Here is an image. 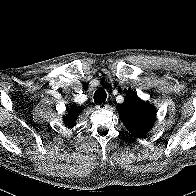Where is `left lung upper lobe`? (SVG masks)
I'll return each instance as SVG.
<instances>
[{"instance_id": "obj_1", "label": "left lung upper lobe", "mask_w": 196, "mask_h": 196, "mask_svg": "<svg viewBox=\"0 0 196 196\" xmlns=\"http://www.w3.org/2000/svg\"><path fill=\"white\" fill-rule=\"evenodd\" d=\"M119 116L124 126L135 136H143L153 126L156 109L141 100L135 93H129L118 106Z\"/></svg>"}]
</instances>
